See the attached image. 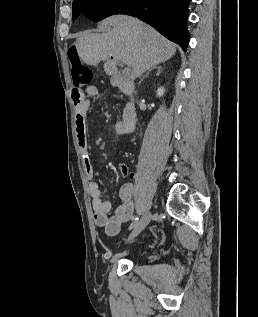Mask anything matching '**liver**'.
<instances>
[{
  "instance_id": "liver-1",
  "label": "liver",
  "mask_w": 258,
  "mask_h": 317,
  "mask_svg": "<svg viewBox=\"0 0 258 317\" xmlns=\"http://www.w3.org/2000/svg\"><path fill=\"white\" fill-rule=\"evenodd\" d=\"M98 28L101 32L87 30L77 38L75 44L79 58L86 64H98L100 60H106L104 70L112 76L111 82L119 76L116 66L118 60L130 64L131 78H137L176 52L177 44L134 16H109L99 22Z\"/></svg>"
}]
</instances>
